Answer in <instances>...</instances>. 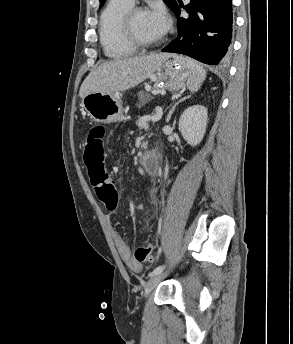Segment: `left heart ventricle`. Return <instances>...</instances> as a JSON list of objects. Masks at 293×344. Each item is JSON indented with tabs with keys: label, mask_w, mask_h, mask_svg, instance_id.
<instances>
[{
	"label": "left heart ventricle",
	"mask_w": 293,
	"mask_h": 344,
	"mask_svg": "<svg viewBox=\"0 0 293 344\" xmlns=\"http://www.w3.org/2000/svg\"><path fill=\"white\" fill-rule=\"evenodd\" d=\"M132 28L134 33L145 41H157L162 37L150 22L147 12H142L135 16Z\"/></svg>",
	"instance_id": "obj_1"
}]
</instances>
